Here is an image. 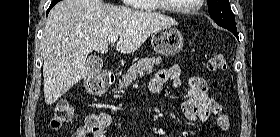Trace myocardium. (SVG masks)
Masks as SVG:
<instances>
[{"instance_id":"1","label":"myocardium","mask_w":280,"mask_h":137,"mask_svg":"<svg viewBox=\"0 0 280 137\" xmlns=\"http://www.w3.org/2000/svg\"><path fill=\"white\" fill-rule=\"evenodd\" d=\"M161 2H165L164 0H160ZM202 2L203 0H196V4L190 7H172L169 6L165 3H162L161 6L163 9H165L166 11H169L171 13H175V14H191L194 13L196 11H198L201 7H202Z\"/></svg>"}]
</instances>
